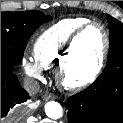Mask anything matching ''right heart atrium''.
<instances>
[{
	"mask_svg": "<svg viewBox=\"0 0 123 123\" xmlns=\"http://www.w3.org/2000/svg\"><path fill=\"white\" fill-rule=\"evenodd\" d=\"M21 65L27 75L41 79L43 68L31 57H23Z\"/></svg>",
	"mask_w": 123,
	"mask_h": 123,
	"instance_id": "obj_1",
	"label": "right heart atrium"
}]
</instances>
